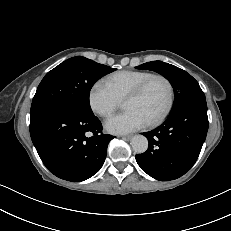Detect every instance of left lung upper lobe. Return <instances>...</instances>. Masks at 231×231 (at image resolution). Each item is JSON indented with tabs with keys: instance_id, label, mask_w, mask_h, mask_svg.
I'll return each mask as SVG.
<instances>
[{
	"instance_id": "1",
	"label": "left lung upper lobe",
	"mask_w": 231,
	"mask_h": 231,
	"mask_svg": "<svg viewBox=\"0 0 231 231\" xmlns=\"http://www.w3.org/2000/svg\"><path fill=\"white\" fill-rule=\"evenodd\" d=\"M136 68L153 70L170 81L175 95L172 110L175 109L186 97L193 94L203 93L198 82L190 74L174 65L161 61H152L139 65Z\"/></svg>"
}]
</instances>
